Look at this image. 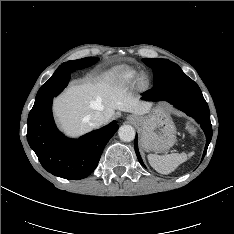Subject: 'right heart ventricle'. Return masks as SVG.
I'll return each instance as SVG.
<instances>
[{
  "label": "right heart ventricle",
  "instance_id": "e07e8e85",
  "mask_svg": "<svg viewBox=\"0 0 234 234\" xmlns=\"http://www.w3.org/2000/svg\"><path fill=\"white\" fill-rule=\"evenodd\" d=\"M138 71L133 67H122L111 74L114 83L118 85H128L134 81Z\"/></svg>",
  "mask_w": 234,
  "mask_h": 234
}]
</instances>
